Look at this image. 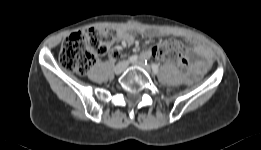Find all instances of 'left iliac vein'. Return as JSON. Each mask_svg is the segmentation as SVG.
Returning a JSON list of instances; mask_svg holds the SVG:
<instances>
[{
	"label": "left iliac vein",
	"instance_id": "left-iliac-vein-1",
	"mask_svg": "<svg viewBox=\"0 0 261 150\" xmlns=\"http://www.w3.org/2000/svg\"><path fill=\"white\" fill-rule=\"evenodd\" d=\"M133 64L141 67L146 72H150V66L146 65L143 60L135 61V62H133Z\"/></svg>",
	"mask_w": 261,
	"mask_h": 150
}]
</instances>
